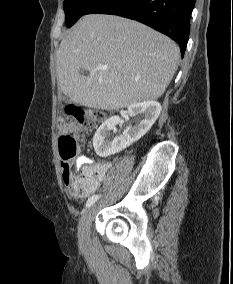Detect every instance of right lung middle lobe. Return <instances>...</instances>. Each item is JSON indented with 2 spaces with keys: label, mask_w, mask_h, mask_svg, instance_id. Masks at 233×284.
<instances>
[{
  "label": "right lung middle lobe",
  "mask_w": 233,
  "mask_h": 284,
  "mask_svg": "<svg viewBox=\"0 0 233 284\" xmlns=\"http://www.w3.org/2000/svg\"><path fill=\"white\" fill-rule=\"evenodd\" d=\"M107 0H65V22L71 27L81 16L92 13Z\"/></svg>",
  "instance_id": "right-lung-middle-lobe-1"
}]
</instances>
